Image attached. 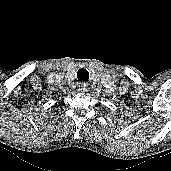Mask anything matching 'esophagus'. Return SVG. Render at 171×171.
<instances>
[{"mask_svg":"<svg viewBox=\"0 0 171 171\" xmlns=\"http://www.w3.org/2000/svg\"><path fill=\"white\" fill-rule=\"evenodd\" d=\"M88 83L87 82H80L78 87H79V91L81 92H86L88 90Z\"/></svg>","mask_w":171,"mask_h":171,"instance_id":"1","label":"esophagus"}]
</instances>
